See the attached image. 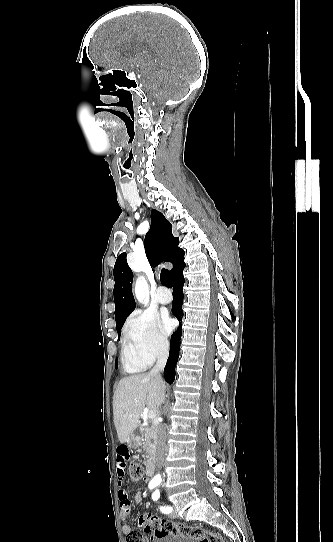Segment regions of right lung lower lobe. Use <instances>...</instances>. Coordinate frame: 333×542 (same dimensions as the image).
<instances>
[{
	"label": "right lung lower lobe",
	"instance_id": "right-lung-lower-lobe-1",
	"mask_svg": "<svg viewBox=\"0 0 333 542\" xmlns=\"http://www.w3.org/2000/svg\"><path fill=\"white\" fill-rule=\"evenodd\" d=\"M184 254L183 250L178 254L173 262V268L171 270L172 286L174 288L172 313L179 321L182 319L183 315L181 306L183 303V284L185 282L183 277V270L185 268ZM181 334L182 327L179 326L171 336L169 358L164 369L165 380L170 384H172L175 379V367L179 357Z\"/></svg>",
	"mask_w": 333,
	"mask_h": 542
}]
</instances>
